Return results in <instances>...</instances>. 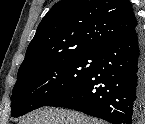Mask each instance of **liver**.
<instances>
[{
    "label": "liver",
    "mask_w": 145,
    "mask_h": 124,
    "mask_svg": "<svg viewBox=\"0 0 145 124\" xmlns=\"http://www.w3.org/2000/svg\"><path fill=\"white\" fill-rule=\"evenodd\" d=\"M20 124H100L81 113L63 109H44L36 111L22 120Z\"/></svg>",
    "instance_id": "1"
}]
</instances>
